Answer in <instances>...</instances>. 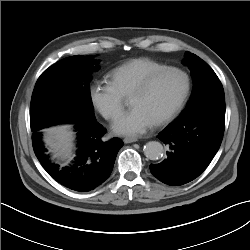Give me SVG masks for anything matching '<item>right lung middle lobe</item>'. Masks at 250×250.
<instances>
[{
	"instance_id": "obj_1",
	"label": "right lung middle lobe",
	"mask_w": 250,
	"mask_h": 250,
	"mask_svg": "<svg viewBox=\"0 0 250 250\" xmlns=\"http://www.w3.org/2000/svg\"><path fill=\"white\" fill-rule=\"evenodd\" d=\"M98 63L92 56H71L41 74L31 99L32 132L59 123L95 120L89 82Z\"/></svg>"
}]
</instances>
